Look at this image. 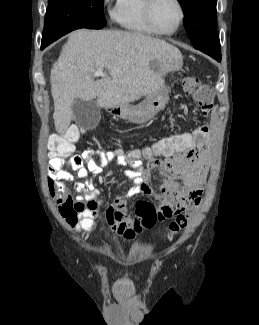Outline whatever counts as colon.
<instances>
[{"instance_id":"1","label":"colon","mask_w":259,"mask_h":325,"mask_svg":"<svg viewBox=\"0 0 259 325\" xmlns=\"http://www.w3.org/2000/svg\"><path fill=\"white\" fill-rule=\"evenodd\" d=\"M183 91L197 102L204 114H209L213 107V92L199 78L194 76L185 77L182 81ZM197 135H193L192 130H184L183 135H178V138H161L160 141L153 146L144 150H139L138 154L143 157L152 156L161 150L170 149H198L199 143L208 135L206 126L197 127ZM80 138V131L77 128H70L62 134L54 135L49 140L50 152L57 158H62L70 154L75 147V144ZM201 202V197L198 196L193 205L186 212L180 213L162 233L166 239H172L180 231L184 230L194 219ZM134 215L139 219L140 224L145 228H150L158 219L156 208L147 201H138Z\"/></svg>"}]
</instances>
